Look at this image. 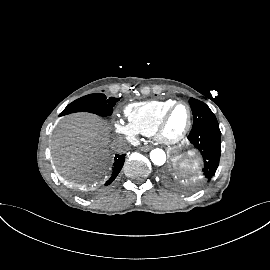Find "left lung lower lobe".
<instances>
[{
    "label": "left lung lower lobe",
    "instance_id": "obj_1",
    "mask_svg": "<svg viewBox=\"0 0 270 270\" xmlns=\"http://www.w3.org/2000/svg\"><path fill=\"white\" fill-rule=\"evenodd\" d=\"M188 139L201 155V175L189 183H182L172 172L164 174V180L168 185L183 191H193L209 182L215 175L221 155V132L218 124L204 125L192 130Z\"/></svg>",
    "mask_w": 270,
    "mask_h": 270
}]
</instances>
